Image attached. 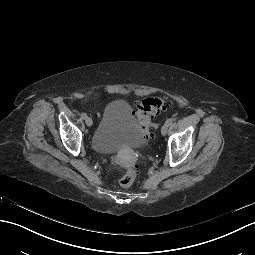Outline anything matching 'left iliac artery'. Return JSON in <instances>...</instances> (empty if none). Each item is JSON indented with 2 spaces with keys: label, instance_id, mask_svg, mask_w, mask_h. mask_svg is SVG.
Returning <instances> with one entry per match:
<instances>
[{
  "label": "left iliac artery",
  "instance_id": "left-iliac-artery-1",
  "mask_svg": "<svg viewBox=\"0 0 255 255\" xmlns=\"http://www.w3.org/2000/svg\"><path fill=\"white\" fill-rule=\"evenodd\" d=\"M165 124H166L167 126L172 125V124H173V119H168V120H166Z\"/></svg>",
  "mask_w": 255,
  "mask_h": 255
}]
</instances>
